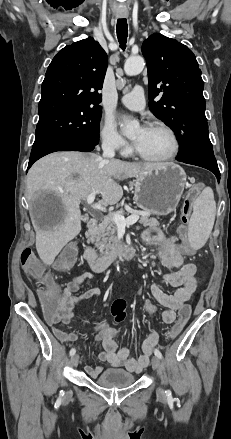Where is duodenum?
Wrapping results in <instances>:
<instances>
[{
  "label": "duodenum",
  "instance_id": "duodenum-1",
  "mask_svg": "<svg viewBox=\"0 0 231 439\" xmlns=\"http://www.w3.org/2000/svg\"><path fill=\"white\" fill-rule=\"evenodd\" d=\"M89 233L95 232L98 227V220L91 218L87 222ZM137 248L129 244H117L107 249L103 254L98 255L94 248L87 247L84 257L91 269L95 272H102L118 258L133 259L136 256Z\"/></svg>",
  "mask_w": 231,
  "mask_h": 439
}]
</instances>
